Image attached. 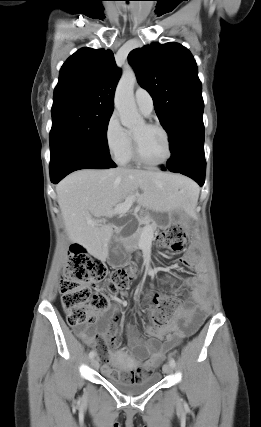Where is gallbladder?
<instances>
[{"mask_svg":"<svg viewBox=\"0 0 261 427\" xmlns=\"http://www.w3.org/2000/svg\"><path fill=\"white\" fill-rule=\"evenodd\" d=\"M126 260L125 249L119 246L116 241L112 238L109 243V255L107 262L113 266H119Z\"/></svg>","mask_w":261,"mask_h":427,"instance_id":"bac80fb5","label":"gallbladder"}]
</instances>
